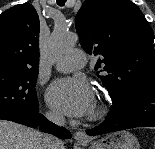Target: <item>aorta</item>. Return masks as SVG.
<instances>
[{
  "instance_id": "obj_1",
  "label": "aorta",
  "mask_w": 155,
  "mask_h": 149,
  "mask_svg": "<svg viewBox=\"0 0 155 149\" xmlns=\"http://www.w3.org/2000/svg\"><path fill=\"white\" fill-rule=\"evenodd\" d=\"M76 40V36L70 33L66 26L55 27L47 47L48 59L55 60L63 53L72 49Z\"/></svg>"
}]
</instances>
